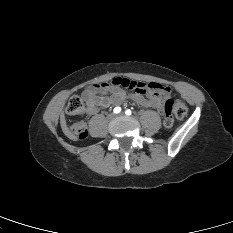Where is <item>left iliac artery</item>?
Instances as JSON below:
<instances>
[{"instance_id":"obj_1","label":"left iliac artery","mask_w":233,"mask_h":233,"mask_svg":"<svg viewBox=\"0 0 233 233\" xmlns=\"http://www.w3.org/2000/svg\"><path fill=\"white\" fill-rule=\"evenodd\" d=\"M125 113H126V115H131V114H132V112H131L130 109H127V110L125 111Z\"/></svg>"}]
</instances>
